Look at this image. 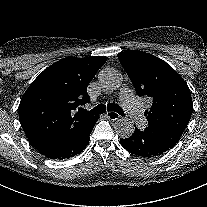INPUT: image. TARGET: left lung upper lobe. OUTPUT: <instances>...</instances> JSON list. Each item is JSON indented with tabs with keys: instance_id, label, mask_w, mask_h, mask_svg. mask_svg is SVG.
Instances as JSON below:
<instances>
[{
	"instance_id": "5c2ea615",
	"label": "left lung upper lobe",
	"mask_w": 207,
	"mask_h": 207,
	"mask_svg": "<svg viewBox=\"0 0 207 207\" xmlns=\"http://www.w3.org/2000/svg\"><path fill=\"white\" fill-rule=\"evenodd\" d=\"M118 59L136 93L152 102L144 113L148 120L145 131L173 148L193 111L187 83L169 64L152 54L127 51L119 53Z\"/></svg>"
}]
</instances>
